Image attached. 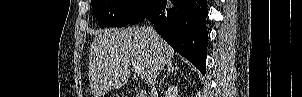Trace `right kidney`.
Wrapping results in <instances>:
<instances>
[{
  "mask_svg": "<svg viewBox=\"0 0 302 97\" xmlns=\"http://www.w3.org/2000/svg\"><path fill=\"white\" fill-rule=\"evenodd\" d=\"M178 94V87L177 86H171L169 87L166 96L167 97H177Z\"/></svg>",
  "mask_w": 302,
  "mask_h": 97,
  "instance_id": "ca27d5eb",
  "label": "right kidney"
}]
</instances>
